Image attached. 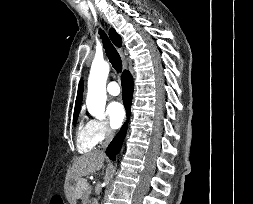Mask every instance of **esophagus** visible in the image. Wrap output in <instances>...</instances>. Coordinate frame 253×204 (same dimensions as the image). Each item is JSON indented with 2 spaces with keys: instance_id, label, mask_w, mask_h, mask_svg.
Listing matches in <instances>:
<instances>
[{
  "instance_id": "esophagus-1",
  "label": "esophagus",
  "mask_w": 253,
  "mask_h": 204,
  "mask_svg": "<svg viewBox=\"0 0 253 204\" xmlns=\"http://www.w3.org/2000/svg\"><path fill=\"white\" fill-rule=\"evenodd\" d=\"M119 52H120V55L123 59L124 66L126 67L127 63H126V59H125V53L121 49H119Z\"/></svg>"
}]
</instances>
